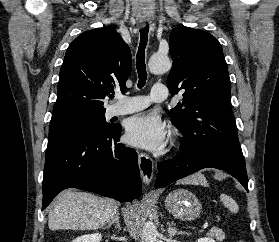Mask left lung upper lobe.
Returning a JSON list of instances; mask_svg holds the SVG:
<instances>
[{"mask_svg":"<svg viewBox=\"0 0 279 242\" xmlns=\"http://www.w3.org/2000/svg\"><path fill=\"white\" fill-rule=\"evenodd\" d=\"M173 59L167 85L183 100L170 119L183 134L181 152L222 150L242 155L231 110V82L220 43L211 34L189 27L170 34Z\"/></svg>","mask_w":279,"mask_h":242,"instance_id":"1","label":"left lung upper lobe"}]
</instances>
